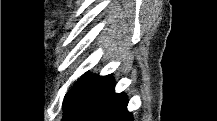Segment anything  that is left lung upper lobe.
Masks as SVG:
<instances>
[{
  "mask_svg": "<svg viewBox=\"0 0 217 121\" xmlns=\"http://www.w3.org/2000/svg\"><path fill=\"white\" fill-rule=\"evenodd\" d=\"M97 77L87 72L71 87L63 101V121L76 120L86 103L89 89Z\"/></svg>",
  "mask_w": 217,
  "mask_h": 121,
  "instance_id": "1",
  "label": "left lung upper lobe"
}]
</instances>
